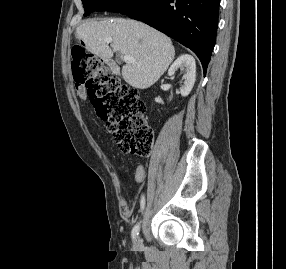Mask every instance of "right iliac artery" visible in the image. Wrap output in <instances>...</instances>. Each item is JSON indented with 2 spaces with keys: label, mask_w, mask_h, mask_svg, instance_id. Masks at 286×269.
<instances>
[{
  "label": "right iliac artery",
  "mask_w": 286,
  "mask_h": 269,
  "mask_svg": "<svg viewBox=\"0 0 286 269\" xmlns=\"http://www.w3.org/2000/svg\"><path fill=\"white\" fill-rule=\"evenodd\" d=\"M140 206H141V209L144 210V207H145V197H144V195H142V197H141ZM139 230H140V222H138L134 226V228L132 230V238H133L134 241L136 240V238H137V236L139 234Z\"/></svg>",
  "instance_id": "right-iliac-artery-1"
}]
</instances>
